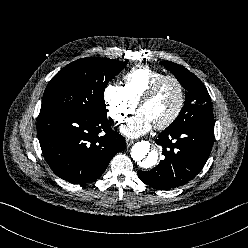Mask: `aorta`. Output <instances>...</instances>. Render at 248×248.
Instances as JSON below:
<instances>
[{
  "instance_id": "1",
  "label": "aorta",
  "mask_w": 248,
  "mask_h": 248,
  "mask_svg": "<svg viewBox=\"0 0 248 248\" xmlns=\"http://www.w3.org/2000/svg\"><path fill=\"white\" fill-rule=\"evenodd\" d=\"M130 154L131 158L145 169L155 166L159 158L158 151L151 149V144L143 140L134 144Z\"/></svg>"
}]
</instances>
